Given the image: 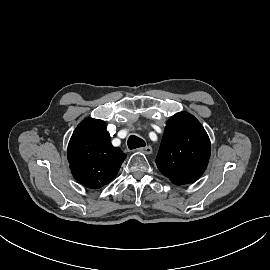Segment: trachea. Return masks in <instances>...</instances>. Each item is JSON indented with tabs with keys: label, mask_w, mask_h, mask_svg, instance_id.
<instances>
[{
	"label": "trachea",
	"mask_w": 270,
	"mask_h": 270,
	"mask_svg": "<svg viewBox=\"0 0 270 270\" xmlns=\"http://www.w3.org/2000/svg\"><path fill=\"white\" fill-rule=\"evenodd\" d=\"M128 147L129 149H136L139 147H144L146 145L145 141L135 135H131L128 139Z\"/></svg>",
	"instance_id": "obj_1"
}]
</instances>
